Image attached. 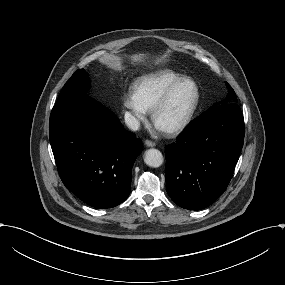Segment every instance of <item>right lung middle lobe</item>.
<instances>
[{
	"instance_id": "right-lung-middle-lobe-1",
	"label": "right lung middle lobe",
	"mask_w": 285,
	"mask_h": 285,
	"mask_svg": "<svg viewBox=\"0 0 285 285\" xmlns=\"http://www.w3.org/2000/svg\"><path fill=\"white\" fill-rule=\"evenodd\" d=\"M89 85L90 80L88 74L84 69H79L66 82L58 96V100L73 95L85 94L84 92L89 88Z\"/></svg>"
}]
</instances>
